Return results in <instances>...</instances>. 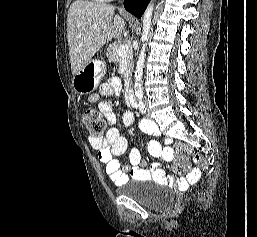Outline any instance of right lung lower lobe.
Instances as JSON below:
<instances>
[{
	"label": "right lung lower lobe",
	"instance_id": "98d812e1",
	"mask_svg": "<svg viewBox=\"0 0 257 237\" xmlns=\"http://www.w3.org/2000/svg\"><path fill=\"white\" fill-rule=\"evenodd\" d=\"M150 0H124L125 9L138 18H141Z\"/></svg>",
	"mask_w": 257,
	"mask_h": 237
}]
</instances>
